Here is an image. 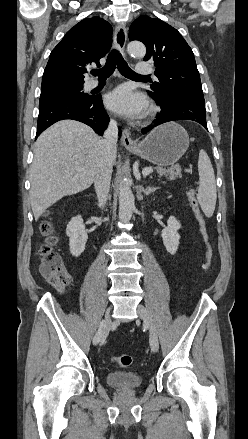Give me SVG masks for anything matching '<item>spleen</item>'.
<instances>
[{"label": "spleen", "mask_w": 248, "mask_h": 439, "mask_svg": "<svg viewBox=\"0 0 248 439\" xmlns=\"http://www.w3.org/2000/svg\"><path fill=\"white\" fill-rule=\"evenodd\" d=\"M199 187L197 200L207 217L215 210L217 193L214 170L207 153L201 149L198 158Z\"/></svg>", "instance_id": "spleen-1"}]
</instances>
